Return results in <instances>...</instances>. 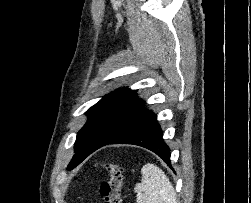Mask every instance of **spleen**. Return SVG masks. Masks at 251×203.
Returning a JSON list of instances; mask_svg holds the SVG:
<instances>
[{"mask_svg":"<svg viewBox=\"0 0 251 203\" xmlns=\"http://www.w3.org/2000/svg\"><path fill=\"white\" fill-rule=\"evenodd\" d=\"M141 183L135 185L137 203H177L176 193L165 173L156 165L147 163L141 169Z\"/></svg>","mask_w":251,"mask_h":203,"instance_id":"1","label":"spleen"}]
</instances>
